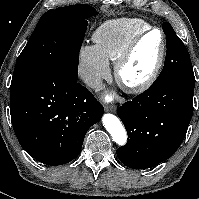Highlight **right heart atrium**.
<instances>
[{"mask_svg":"<svg viewBox=\"0 0 199 199\" xmlns=\"http://www.w3.org/2000/svg\"><path fill=\"white\" fill-rule=\"evenodd\" d=\"M109 73V63L95 45H83L80 48L79 74L88 87L100 88Z\"/></svg>","mask_w":199,"mask_h":199,"instance_id":"1","label":"right heart atrium"}]
</instances>
